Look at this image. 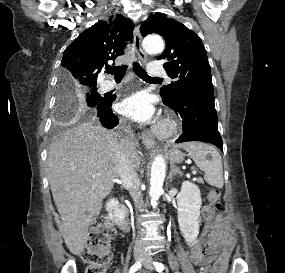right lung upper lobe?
<instances>
[{
	"label": "right lung upper lobe",
	"mask_w": 285,
	"mask_h": 273,
	"mask_svg": "<svg viewBox=\"0 0 285 273\" xmlns=\"http://www.w3.org/2000/svg\"><path fill=\"white\" fill-rule=\"evenodd\" d=\"M134 25L120 14L110 25L98 21L83 31L64 51L61 74L79 85H97L107 61L123 55L124 42L132 40Z\"/></svg>",
	"instance_id": "cb5924a9"
}]
</instances>
